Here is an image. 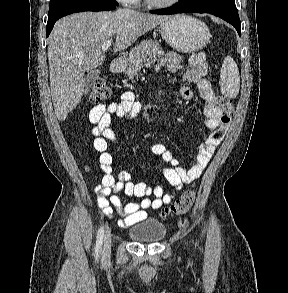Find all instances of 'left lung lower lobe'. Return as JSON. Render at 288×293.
<instances>
[{"label": "left lung lower lobe", "instance_id": "1", "mask_svg": "<svg viewBox=\"0 0 288 293\" xmlns=\"http://www.w3.org/2000/svg\"><path fill=\"white\" fill-rule=\"evenodd\" d=\"M150 13L160 15H170L177 13H209L222 18L233 25L239 36L241 35V22L237 12V8H229L217 3L196 4L187 1H179V3L165 9L153 10Z\"/></svg>", "mask_w": 288, "mask_h": 293}]
</instances>
